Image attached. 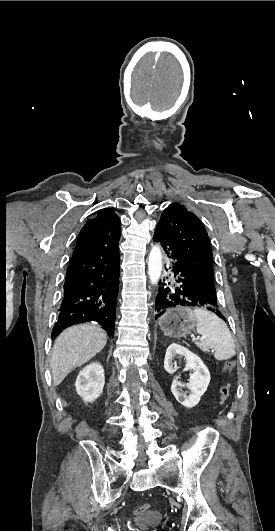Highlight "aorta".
Instances as JSON below:
<instances>
[{
    "label": "aorta",
    "mask_w": 275,
    "mask_h": 531,
    "mask_svg": "<svg viewBox=\"0 0 275 531\" xmlns=\"http://www.w3.org/2000/svg\"><path fill=\"white\" fill-rule=\"evenodd\" d=\"M162 253L160 245L152 247L148 259V275L151 285H157L162 273Z\"/></svg>",
    "instance_id": "762f6f07"
}]
</instances>
